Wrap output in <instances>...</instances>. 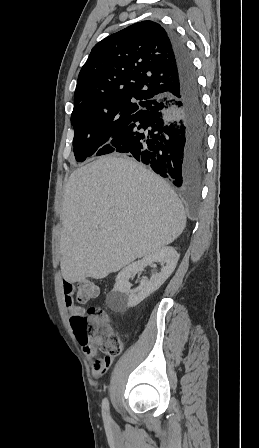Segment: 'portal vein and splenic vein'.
<instances>
[{
  "label": "portal vein and splenic vein",
  "instance_id": "18ae733b",
  "mask_svg": "<svg viewBox=\"0 0 259 448\" xmlns=\"http://www.w3.org/2000/svg\"><path fill=\"white\" fill-rule=\"evenodd\" d=\"M109 214H114V210H110Z\"/></svg>",
  "mask_w": 259,
  "mask_h": 448
}]
</instances>
